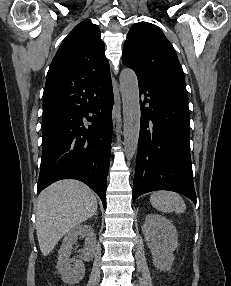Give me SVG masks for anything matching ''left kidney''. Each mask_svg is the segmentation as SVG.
Wrapping results in <instances>:
<instances>
[{"label": "left kidney", "mask_w": 231, "mask_h": 286, "mask_svg": "<svg viewBox=\"0 0 231 286\" xmlns=\"http://www.w3.org/2000/svg\"><path fill=\"white\" fill-rule=\"evenodd\" d=\"M143 234L155 267L168 271L174 261L173 251L178 244L176 227L167 218L151 213L145 219Z\"/></svg>", "instance_id": "obj_1"}]
</instances>
